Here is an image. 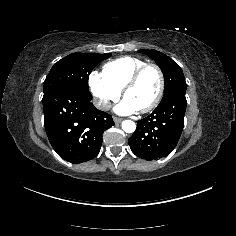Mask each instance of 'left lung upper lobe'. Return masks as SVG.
<instances>
[{
    "mask_svg": "<svg viewBox=\"0 0 236 236\" xmlns=\"http://www.w3.org/2000/svg\"><path fill=\"white\" fill-rule=\"evenodd\" d=\"M139 52L152 57L164 74L165 91L163 98L175 91H186V82L182 69L171 58L157 50L141 49Z\"/></svg>",
    "mask_w": 236,
    "mask_h": 236,
    "instance_id": "1",
    "label": "left lung upper lobe"
}]
</instances>
